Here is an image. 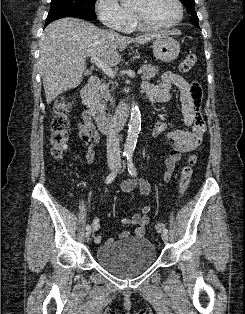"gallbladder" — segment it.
<instances>
[{"label": "gallbladder", "mask_w": 245, "mask_h": 314, "mask_svg": "<svg viewBox=\"0 0 245 314\" xmlns=\"http://www.w3.org/2000/svg\"><path fill=\"white\" fill-rule=\"evenodd\" d=\"M90 73H91V72H90L89 70H86L84 74H85V75H90Z\"/></svg>", "instance_id": "gallbladder-1"}]
</instances>
